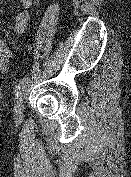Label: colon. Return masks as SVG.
<instances>
[{
    "mask_svg": "<svg viewBox=\"0 0 131 177\" xmlns=\"http://www.w3.org/2000/svg\"><path fill=\"white\" fill-rule=\"evenodd\" d=\"M10 52L5 38H0V70H4L8 63Z\"/></svg>",
    "mask_w": 131,
    "mask_h": 177,
    "instance_id": "1",
    "label": "colon"
}]
</instances>
